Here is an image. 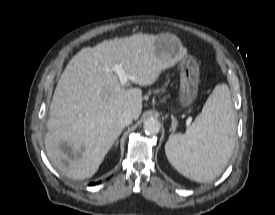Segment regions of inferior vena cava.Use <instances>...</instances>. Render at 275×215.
<instances>
[{
    "label": "inferior vena cava",
    "instance_id": "obj_1",
    "mask_svg": "<svg viewBox=\"0 0 275 215\" xmlns=\"http://www.w3.org/2000/svg\"><path fill=\"white\" fill-rule=\"evenodd\" d=\"M133 116L129 111L123 112L116 120V125L118 127H125L132 123Z\"/></svg>",
    "mask_w": 275,
    "mask_h": 215
}]
</instances>
